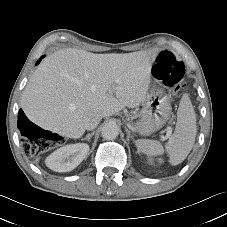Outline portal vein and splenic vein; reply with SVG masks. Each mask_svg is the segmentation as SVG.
I'll list each match as a JSON object with an SVG mask.
<instances>
[{
  "instance_id": "obj_1",
  "label": "portal vein and splenic vein",
  "mask_w": 227,
  "mask_h": 227,
  "mask_svg": "<svg viewBox=\"0 0 227 227\" xmlns=\"http://www.w3.org/2000/svg\"><path fill=\"white\" fill-rule=\"evenodd\" d=\"M171 134H172V130H171L170 127H168V128H167V135H166V137H167V138L170 137Z\"/></svg>"
}]
</instances>
